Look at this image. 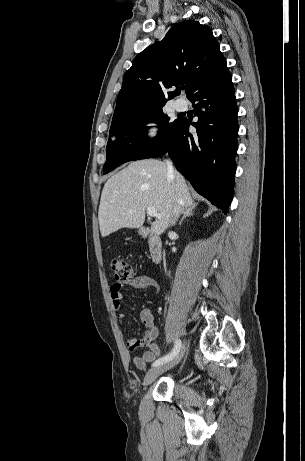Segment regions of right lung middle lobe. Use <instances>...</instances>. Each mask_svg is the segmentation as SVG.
Masks as SVG:
<instances>
[{
  "instance_id": "obj_1",
  "label": "right lung middle lobe",
  "mask_w": 305,
  "mask_h": 461,
  "mask_svg": "<svg viewBox=\"0 0 305 461\" xmlns=\"http://www.w3.org/2000/svg\"><path fill=\"white\" fill-rule=\"evenodd\" d=\"M180 119L170 121L162 112V107L125 118L110 128L106 153L107 160L104 173H108L117 166L132 160L145 159L158 151L169 139ZM154 122L160 127L154 140L146 136L145 125ZM115 136L116 140H111Z\"/></svg>"
}]
</instances>
